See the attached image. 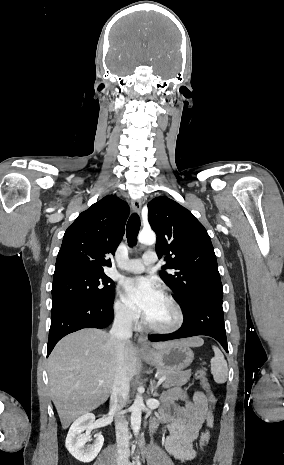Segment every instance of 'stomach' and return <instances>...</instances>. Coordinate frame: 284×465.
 I'll list each match as a JSON object with an SVG mask.
<instances>
[{
  "instance_id": "obj_1",
  "label": "stomach",
  "mask_w": 284,
  "mask_h": 465,
  "mask_svg": "<svg viewBox=\"0 0 284 465\" xmlns=\"http://www.w3.org/2000/svg\"><path fill=\"white\" fill-rule=\"evenodd\" d=\"M143 359L163 371H182L194 361V353L183 341H171L161 351H145Z\"/></svg>"
}]
</instances>
